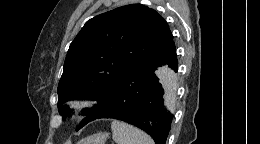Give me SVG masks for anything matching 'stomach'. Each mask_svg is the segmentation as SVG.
I'll return each mask as SVG.
<instances>
[{"instance_id": "0dacf381", "label": "stomach", "mask_w": 260, "mask_h": 144, "mask_svg": "<svg viewBox=\"0 0 260 144\" xmlns=\"http://www.w3.org/2000/svg\"><path fill=\"white\" fill-rule=\"evenodd\" d=\"M107 138V133L99 132L82 139L77 144H105Z\"/></svg>"}]
</instances>
